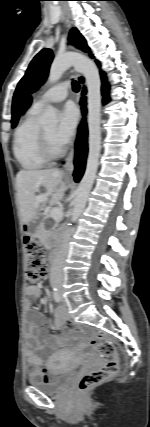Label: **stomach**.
I'll return each mask as SVG.
<instances>
[{
    "label": "stomach",
    "mask_w": 150,
    "mask_h": 427,
    "mask_svg": "<svg viewBox=\"0 0 150 427\" xmlns=\"http://www.w3.org/2000/svg\"><path fill=\"white\" fill-rule=\"evenodd\" d=\"M39 228L37 226H35L32 230L33 231H37Z\"/></svg>",
    "instance_id": "obj_1"
}]
</instances>
